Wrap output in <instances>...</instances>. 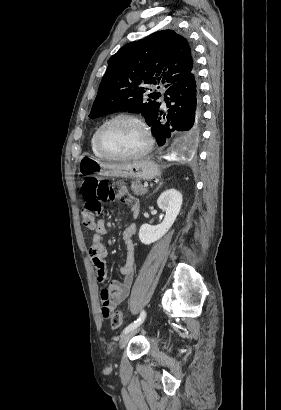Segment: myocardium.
I'll list each match as a JSON object with an SVG mask.
<instances>
[{
  "mask_svg": "<svg viewBox=\"0 0 281 410\" xmlns=\"http://www.w3.org/2000/svg\"><path fill=\"white\" fill-rule=\"evenodd\" d=\"M122 119H127V120H131L133 122H135L136 124H138L146 137V142L145 145L143 146V148L141 150H139L138 152L135 153H131V154H115L112 153L110 151H108L102 142V135L103 132L105 131V129L111 125L112 123L118 121V120H122ZM153 136L152 133L148 127V125L138 116L131 114V113H120L117 114L115 116H113L112 118L108 119L107 121H105L101 126H99V128L97 129L96 132V146L97 149L100 151V153L108 159L111 160H130V159H136V158H140L145 156L146 154H148L152 147H153Z\"/></svg>",
  "mask_w": 281,
  "mask_h": 410,
  "instance_id": "myocardium-1",
  "label": "myocardium"
}]
</instances>
